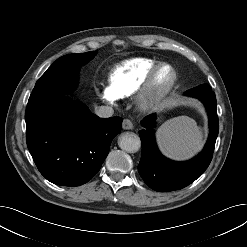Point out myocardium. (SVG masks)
<instances>
[{
    "mask_svg": "<svg viewBox=\"0 0 247 247\" xmlns=\"http://www.w3.org/2000/svg\"><path fill=\"white\" fill-rule=\"evenodd\" d=\"M163 68H169L171 71V78L168 83L161 89L155 86V80L158 73ZM177 82V72L175 68L169 63L157 64L147 75L146 79L140 86L136 102L141 111H149L157 107L173 90Z\"/></svg>",
    "mask_w": 247,
    "mask_h": 247,
    "instance_id": "myocardium-1",
    "label": "myocardium"
}]
</instances>
